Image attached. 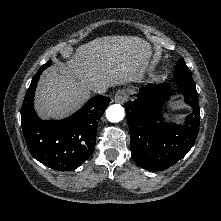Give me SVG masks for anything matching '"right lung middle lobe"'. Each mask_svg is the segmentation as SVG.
<instances>
[{
  "label": "right lung middle lobe",
  "instance_id": "obj_1",
  "mask_svg": "<svg viewBox=\"0 0 221 221\" xmlns=\"http://www.w3.org/2000/svg\"><path fill=\"white\" fill-rule=\"evenodd\" d=\"M50 65H51V60H49L46 64H44L38 71H43L44 69H46Z\"/></svg>",
  "mask_w": 221,
  "mask_h": 221
}]
</instances>
